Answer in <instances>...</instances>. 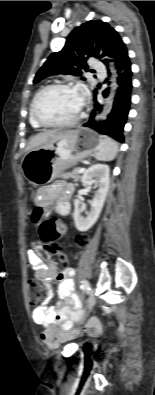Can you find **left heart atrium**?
<instances>
[{
    "label": "left heart atrium",
    "mask_w": 155,
    "mask_h": 395,
    "mask_svg": "<svg viewBox=\"0 0 155 395\" xmlns=\"http://www.w3.org/2000/svg\"><path fill=\"white\" fill-rule=\"evenodd\" d=\"M77 92H78V97H79L80 104L82 105L83 102H84L86 93H85L84 89L81 88V87L77 89Z\"/></svg>",
    "instance_id": "left-heart-atrium-1"
}]
</instances>
